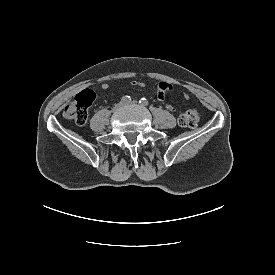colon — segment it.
<instances>
[{
	"label": "colon",
	"instance_id": "1",
	"mask_svg": "<svg viewBox=\"0 0 275 275\" xmlns=\"http://www.w3.org/2000/svg\"><path fill=\"white\" fill-rule=\"evenodd\" d=\"M94 100L95 92L92 89L83 90L73 102L64 108V117L77 125H84L87 122L88 109ZM199 117V111L191 109L181 114L179 123L185 127H195L199 121Z\"/></svg>",
	"mask_w": 275,
	"mask_h": 275
}]
</instances>
